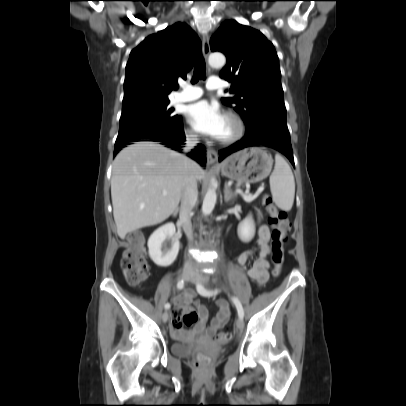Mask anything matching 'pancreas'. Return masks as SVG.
I'll list each match as a JSON object with an SVG mask.
<instances>
[{
	"mask_svg": "<svg viewBox=\"0 0 406 406\" xmlns=\"http://www.w3.org/2000/svg\"><path fill=\"white\" fill-rule=\"evenodd\" d=\"M249 196V195H248ZM252 196V195H251ZM245 200V199H244ZM254 200V199H253ZM246 202H251V201H247V200H245Z\"/></svg>",
	"mask_w": 406,
	"mask_h": 406,
	"instance_id": "cf45deb5",
	"label": "pancreas"
}]
</instances>
